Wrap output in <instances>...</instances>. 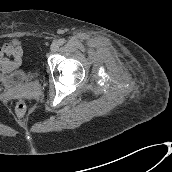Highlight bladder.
Listing matches in <instances>:
<instances>
[{
	"instance_id": "1",
	"label": "bladder",
	"mask_w": 172,
	"mask_h": 172,
	"mask_svg": "<svg viewBox=\"0 0 172 172\" xmlns=\"http://www.w3.org/2000/svg\"><path fill=\"white\" fill-rule=\"evenodd\" d=\"M5 88L10 89L16 86V83H13L11 85H3Z\"/></svg>"
}]
</instances>
